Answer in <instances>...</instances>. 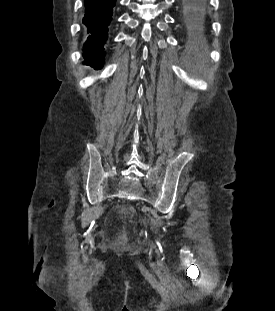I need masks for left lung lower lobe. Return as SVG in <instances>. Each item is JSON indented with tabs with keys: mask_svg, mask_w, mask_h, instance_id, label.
<instances>
[{
	"mask_svg": "<svg viewBox=\"0 0 275 311\" xmlns=\"http://www.w3.org/2000/svg\"><path fill=\"white\" fill-rule=\"evenodd\" d=\"M182 1V26L187 32L201 30L204 25L203 12L206 0H181Z\"/></svg>",
	"mask_w": 275,
	"mask_h": 311,
	"instance_id": "1",
	"label": "left lung lower lobe"
}]
</instances>
